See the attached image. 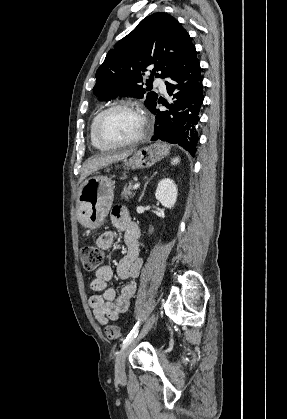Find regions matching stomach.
<instances>
[{"mask_svg": "<svg viewBox=\"0 0 287 419\" xmlns=\"http://www.w3.org/2000/svg\"><path fill=\"white\" fill-rule=\"evenodd\" d=\"M170 146L164 142H155L144 146L132 154L125 166L132 168H150L164 158ZM114 197V184L107 176L96 175L86 179L79 187L77 198V216L85 227L98 228L108 215Z\"/></svg>", "mask_w": 287, "mask_h": 419, "instance_id": "1", "label": "stomach"}]
</instances>
